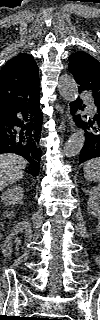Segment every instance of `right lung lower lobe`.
I'll return each mask as SVG.
<instances>
[{
	"instance_id": "98d812e1",
	"label": "right lung lower lobe",
	"mask_w": 100,
	"mask_h": 320,
	"mask_svg": "<svg viewBox=\"0 0 100 320\" xmlns=\"http://www.w3.org/2000/svg\"><path fill=\"white\" fill-rule=\"evenodd\" d=\"M39 92L14 107L0 111V153H15L30 163L27 173L37 176L41 149L39 146L43 115Z\"/></svg>"
}]
</instances>
